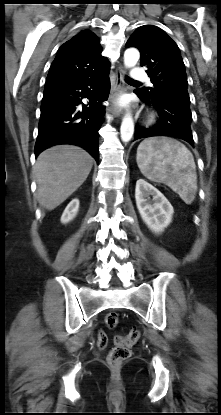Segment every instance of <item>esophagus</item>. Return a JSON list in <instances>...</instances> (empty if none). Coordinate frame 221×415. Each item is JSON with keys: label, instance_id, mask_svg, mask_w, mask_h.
Listing matches in <instances>:
<instances>
[{"label": "esophagus", "instance_id": "obj_1", "mask_svg": "<svg viewBox=\"0 0 221 415\" xmlns=\"http://www.w3.org/2000/svg\"><path fill=\"white\" fill-rule=\"evenodd\" d=\"M125 75H126L125 67L119 66L116 69L114 87L110 94V101H111L110 112L116 117H120L123 114V111L118 104V99H119V96L124 91Z\"/></svg>", "mask_w": 221, "mask_h": 415}]
</instances>
